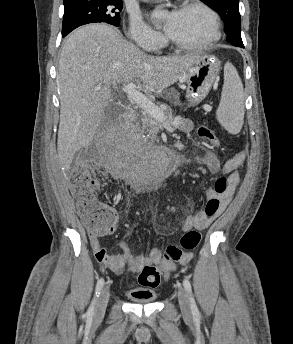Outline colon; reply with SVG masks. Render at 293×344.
<instances>
[{
	"instance_id": "colon-1",
	"label": "colon",
	"mask_w": 293,
	"mask_h": 344,
	"mask_svg": "<svg viewBox=\"0 0 293 344\" xmlns=\"http://www.w3.org/2000/svg\"><path fill=\"white\" fill-rule=\"evenodd\" d=\"M200 137L209 145L217 146L219 141L216 134L208 128L201 127L198 130ZM228 179L220 177L215 183L214 190L217 195H224L228 191ZM99 188V181L91 170L82 172L72 186V192L76 200L78 215L91 237L107 235L113 232L116 223L115 212L105 205L100 204L96 199V190ZM220 207L218 198L210 199L205 207L208 216L215 215ZM201 241V233L198 230L185 232L178 243L169 245L162 258V264L179 262L185 254L194 251ZM163 272L162 265H147L140 275L139 282L147 288H156L160 285Z\"/></svg>"
}]
</instances>
